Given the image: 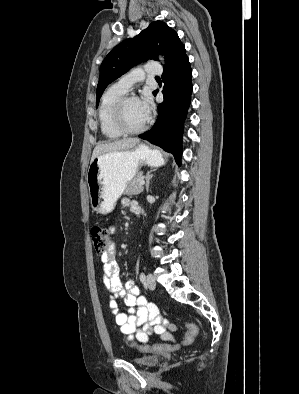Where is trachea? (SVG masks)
Listing matches in <instances>:
<instances>
[{
    "label": "trachea",
    "mask_w": 299,
    "mask_h": 394,
    "mask_svg": "<svg viewBox=\"0 0 299 394\" xmlns=\"http://www.w3.org/2000/svg\"><path fill=\"white\" fill-rule=\"evenodd\" d=\"M155 79H160V77H157V76H156Z\"/></svg>",
    "instance_id": "1"
}]
</instances>
